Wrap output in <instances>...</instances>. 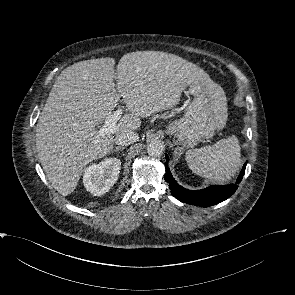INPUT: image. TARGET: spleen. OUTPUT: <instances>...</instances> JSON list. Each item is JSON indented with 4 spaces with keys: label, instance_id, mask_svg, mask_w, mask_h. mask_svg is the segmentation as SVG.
I'll return each instance as SVG.
<instances>
[{
    "label": "spleen",
    "instance_id": "1",
    "mask_svg": "<svg viewBox=\"0 0 295 295\" xmlns=\"http://www.w3.org/2000/svg\"><path fill=\"white\" fill-rule=\"evenodd\" d=\"M240 145L232 135L214 145L186 152V162L197 175L224 183L231 179L240 166Z\"/></svg>",
    "mask_w": 295,
    "mask_h": 295
}]
</instances>
